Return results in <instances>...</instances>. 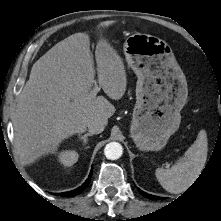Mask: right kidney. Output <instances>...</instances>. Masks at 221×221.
<instances>
[{
  "label": "right kidney",
  "instance_id": "1",
  "mask_svg": "<svg viewBox=\"0 0 221 221\" xmlns=\"http://www.w3.org/2000/svg\"><path fill=\"white\" fill-rule=\"evenodd\" d=\"M78 157V153L74 150H63L58 153V161L66 167L72 166L76 163Z\"/></svg>",
  "mask_w": 221,
  "mask_h": 221
}]
</instances>
